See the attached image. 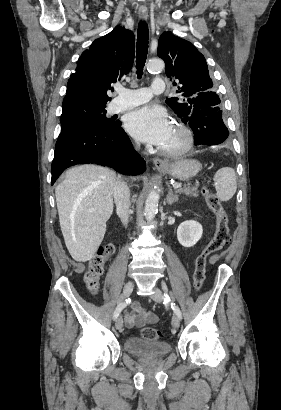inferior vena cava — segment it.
I'll use <instances>...</instances> for the list:
<instances>
[{"instance_id": "602c4592", "label": "inferior vena cava", "mask_w": 281, "mask_h": 410, "mask_svg": "<svg viewBox=\"0 0 281 410\" xmlns=\"http://www.w3.org/2000/svg\"><path fill=\"white\" fill-rule=\"evenodd\" d=\"M113 195L117 214L122 223L126 226L128 223L130 209V191L126 183L121 180H117L114 185Z\"/></svg>"}]
</instances>
